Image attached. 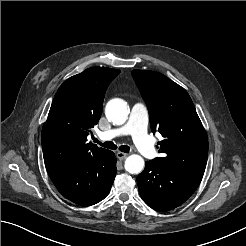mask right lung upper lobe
I'll use <instances>...</instances> for the list:
<instances>
[{
  "mask_svg": "<svg viewBox=\"0 0 246 246\" xmlns=\"http://www.w3.org/2000/svg\"><path fill=\"white\" fill-rule=\"evenodd\" d=\"M120 70L91 67L67 79L53 99L42 129L45 167L51 171L77 160L103 155L108 150L87 142L98 123L109 83Z\"/></svg>",
  "mask_w": 246,
  "mask_h": 246,
  "instance_id": "cb5924a9",
  "label": "right lung upper lobe"
}]
</instances>
